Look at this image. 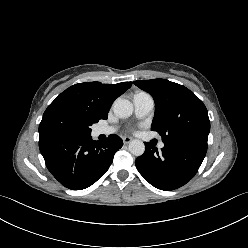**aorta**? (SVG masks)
Instances as JSON below:
<instances>
[{
    "label": "aorta",
    "instance_id": "762f6f07",
    "mask_svg": "<svg viewBox=\"0 0 248 248\" xmlns=\"http://www.w3.org/2000/svg\"><path fill=\"white\" fill-rule=\"evenodd\" d=\"M113 111L120 118H127L133 113V104L127 100L118 98L113 104ZM129 151L135 156H141L145 151V144L141 140H132L129 143Z\"/></svg>",
    "mask_w": 248,
    "mask_h": 248
}]
</instances>
